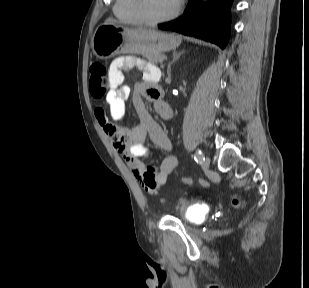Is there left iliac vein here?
Masks as SVG:
<instances>
[{
    "label": "left iliac vein",
    "instance_id": "left-iliac-vein-1",
    "mask_svg": "<svg viewBox=\"0 0 309 288\" xmlns=\"http://www.w3.org/2000/svg\"><path fill=\"white\" fill-rule=\"evenodd\" d=\"M210 165V159L208 157H206L203 161H202V169L203 170H207L209 168Z\"/></svg>",
    "mask_w": 309,
    "mask_h": 288
}]
</instances>
